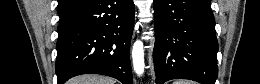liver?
<instances>
[{
    "label": "liver",
    "instance_id": "liver-1",
    "mask_svg": "<svg viewBox=\"0 0 260 84\" xmlns=\"http://www.w3.org/2000/svg\"><path fill=\"white\" fill-rule=\"evenodd\" d=\"M70 84H115V80L111 77L100 75H81L71 79Z\"/></svg>",
    "mask_w": 260,
    "mask_h": 84
}]
</instances>
